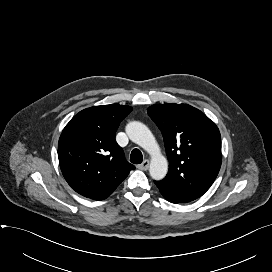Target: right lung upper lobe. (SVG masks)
I'll return each instance as SVG.
<instances>
[{"mask_svg": "<svg viewBox=\"0 0 272 272\" xmlns=\"http://www.w3.org/2000/svg\"><path fill=\"white\" fill-rule=\"evenodd\" d=\"M131 111L119 104L90 107L63 129L59 163L65 180L77 193L103 200L135 169L115 140L119 124Z\"/></svg>", "mask_w": 272, "mask_h": 272, "instance_id": "1", "label": "right lung upper lobe"}]
</instances>
